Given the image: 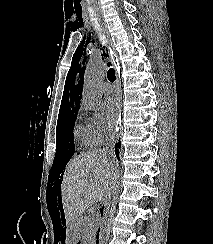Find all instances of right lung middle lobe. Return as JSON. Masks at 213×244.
Listing matches in <instances>:
<instances>
[{"mask_svg": "<svg viewBox=\"0 0 213 244\" xmlns=\"http://www.w3.org/2000/svg\"><path fill=\"white\" fill-rule=\"evenodd\" d=\"M77 112L78 109H74L59 114L56 131V154L49 174L50 182L57 178L59 171L66 166L74 154L73 128Z\"/></svg>", "mask_w": 213, "mask_h": 244, "instance_id": "obj_1", "label": "right lung middle lobe"}]
</instances>
